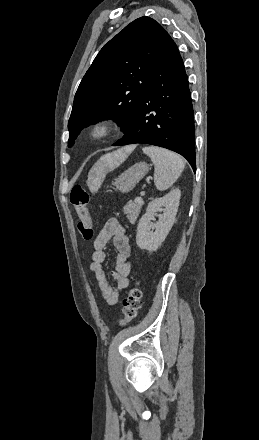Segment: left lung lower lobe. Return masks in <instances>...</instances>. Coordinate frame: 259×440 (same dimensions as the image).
Wrapping results in <instances>:
<instances>
[{"label":"left lung lower lobe","instance_id":"obj_1","mask_svg":"<svg viewBox=\"0 0 259 440\" xmlns=\"http://www.w3.org/2000/svg\"><path fill=\"white\" fill-rule=\"evenodd\" d=\"M124 132L114 146L144 143L164 147L181 154L196 171L194 114L188 78L170 36L139 108Z\"/></svg>","mask_w":259,"mask_h":440}]
</instances>
